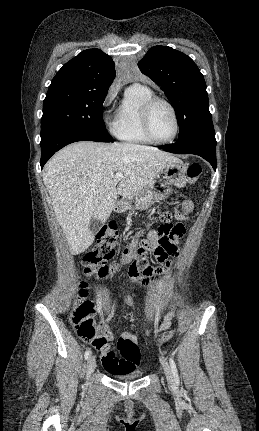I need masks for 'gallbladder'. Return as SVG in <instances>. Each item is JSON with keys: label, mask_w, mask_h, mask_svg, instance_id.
<instances>
[{"label": "gallbladder", "mask_w": 259, "mask_h": 431, "mask_svg": "<svg viewBox=\"0 0 259 431\" xmlns=\"http://www.w3.org/2000/svg\"><path fill=\"white\" fill-rule=\"evenodd\" d=\"M102 222L97 218H92L89 223L90 231L95 235L101 228Z\"/></svg>", "instance_id": "1"}]
</instances>
